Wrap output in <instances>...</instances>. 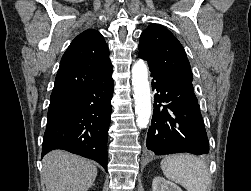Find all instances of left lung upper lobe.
<instances>
[{
  "label": "left lung upper lobe",
  "instance_id": "1",
  "mask_svg": "<svg viewBox=\"0 0 251 191\" xmlns=\"http://www.w3.org/2000/svg\"><path fill=\"white\" fill-rule=\"evenodd\" d=\"M138 56L166 76L192 83L193 74L185 50L165 27L151 24L140 36Z\"/></svg>",
  "mask_w": 251,
  "mask_h": 191
}]
</instances>
